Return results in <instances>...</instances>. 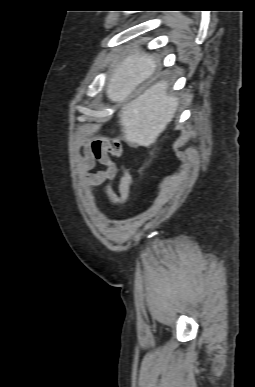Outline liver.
I'll return each instance as SVG.
<instances>
[{"label": "liver", "instance_id": "liver-1", "mask_svg": "<svg viewBox=\"0 0 255 387\" xmlns=\"http://www.w3.org/2000/svg\"><path fill=\"white\" fill-rule=\"evenodd\" d=\"M157 62L150 54L136 51L116 65L107 84L106 95L124 103L138 85L153 75ZM168 81L152 85L134 100L124 103L118 114L123 138L144 147L154 144L172 121L179 101L168 92Z\"/></svg>", "mask_w": 255, "mask_h": 387}]
</instances>
